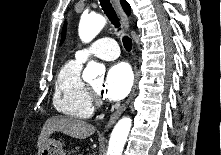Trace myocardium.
Returning a JSON list of instances; mask_svg holds the SVG:
<instances>
[{
  "instance_id": "myocardium-1",
  "label": "myocardium",
  "mask_w": 221,
  "mask_h": 155,
  "mask_svg": "<svg viewBox=\"0 0 221 155\" xmlns=\"http://www.w3.org/2000/svg\"><path fill=\"white\" fill-rule=\"evenodd\" d=\"M87 86L88 95L93 105H99L101 103L99 98V92L93 89L90 85Z\"/></svg>"
}]
</instances>
